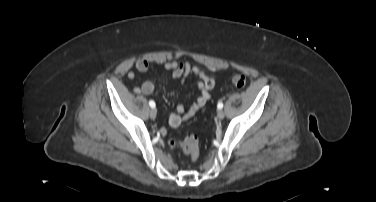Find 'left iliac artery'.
Masks as SVG:
<instances>
[{"label":"left iliac artery","mask_w":376,"mask_h":202,"mask_svg":"<svg viewBox=\"0 0 376 202\" xmlns=\"http://www.w3.org/2000/svg\"><path fill=\"white\" fill-rule=\"evenodd\" d=\"M218 109H222L223 108V103L222 102H219L218 105H217Z\"/></svg>","instance_id":"left-iliac-artery-1"}]
</instances>
